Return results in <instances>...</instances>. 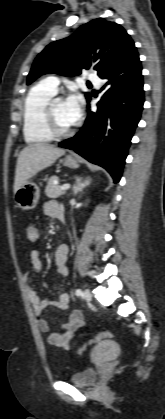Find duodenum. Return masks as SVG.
<instances>
[{
	"mask_svg": "<svg viewBox=\"0 0 165 419\" xmlns=\"http://www.w3.org/2000/svg\"><path fill=\"white\" fill-rule=\"evenodd\" d=\"M58 217H59L62 221H65L64 214H63V211H62V208H61V207H59V209H58Z\"/></svg>",
	"mask_w": 165,
	"mask_h": 419,
	"instance_id": "duodenum-1",
	"label": "duodenum"
}]
</instances>
